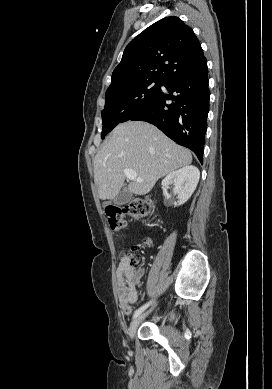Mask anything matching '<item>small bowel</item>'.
I'll return each mask as SVG.
<instances>
[{
  "instance_id": "small-bowel-1",
  "label": "small bowel",
  "mask_w": 272,
  "mask_h": 389,
  "mask_svg": "<svg viewBox=\"0 0 272 389\" xmlns=\"http://www.w3.org/2000/svg\"><path fill=\"white\" fill-rule=\"evenodd\" d=\"M145 269H135L129 265L128 259L121 260L117 268V290L122 312L129 315L132 305L137 301L139 289L142 286V277Z\"/></svg>"
}]
</instances>
